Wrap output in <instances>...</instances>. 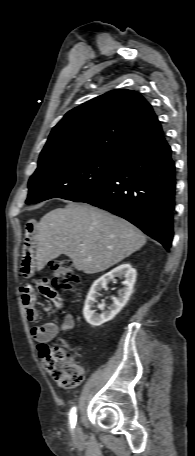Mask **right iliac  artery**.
Listing matches in <instances>:
<instances>
[{
	"label": "right iliac artery",
	"mask_w": 195,
	"mask_h": 456,
	"mask_svg": "<svg viewBox=\"0 0 195 456\" xmlns=\"http://www.w3.org/2000/svg\"><path fill=\"white\" fill-rule=\"evenodd\" d=\"M69 421H70V424H71V428H74L75 423H76V407H73L70 410Z\"/></svg>",
	"instance_id": "82829eb1"
}]
</instances>
